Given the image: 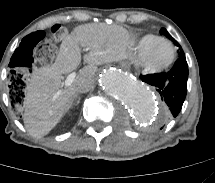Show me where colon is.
Masks as SVG:
<instances>
[{"label":"colon","instance_id":"obj_1","mask_svg":"<svg viewBox=\"0 0 215 183\" xmlns=\"http://www.w3.org/2000/svg\"><path fill=\"white\" fill-rule=\"evenodd\" d=\"M67 35L66 28L55 24L52 28H42L28 35L26 42L20 44L18 54L14 57L9 75V91L14 101L24 99L26 89V73L28 67L51 65L56 51L61 46L60 39Z\"/></svg>","mask_w":215,"mask_h":183}]
</instances>
